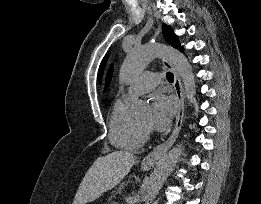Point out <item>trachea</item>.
<instances>
[{"instance_id":"trachea-1","label":"trachea","mask_w":261,"mask_h":204,"mask_svg":"<svg viewBox=\"0 0 261 204\" xmlns=\"http://www.w3.org/2000/svg\"><path fill=\"white\" fill-rule=\"evenodd\" d=\"M166 79H167L169 82H173V81H174L173 73L167 72V73H166Z\"/></svg>"}]
</instances>
